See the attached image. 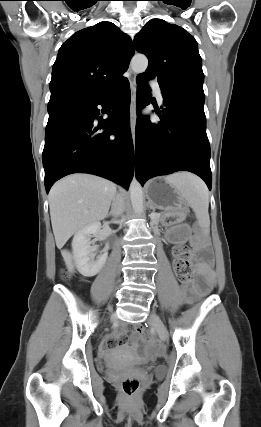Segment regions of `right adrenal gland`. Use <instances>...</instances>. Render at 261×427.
Returning a JSON list of instances; mask_svg holds the SVG:
<instances>
[{
  "label": "right adrenal gland",
  "mask_w": 261,
  "mask_h": 427,
  "mask_svg": "<svg viewBox=\"0 0 261 427\" xmlns=\"http://www.w3.org/2000/svg\"><path fill=\"white\" fill-rule=\"evenodd\" d=\"M109 216H112V214H111V213H109V214L107 215V217H109Z\"/></svg>",
  "instance_id": "2a0ac1e0"
}]
</instances>
